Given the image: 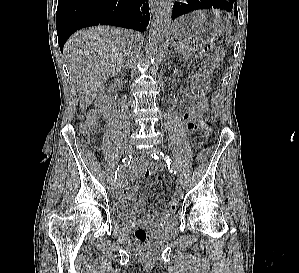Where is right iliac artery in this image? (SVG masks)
<instances>
[{
	"label": "right iliac artery",
	"mask_w": 299,
	"mask_h": 273,
	"mask_svg": "<svg viewBox=\"0 0 299 273\" xmlns=\"http://www.w3.org/2000/svg\"><path fill=\"white\" fill-rule=\"evenodd\" d=\"M132 160V155H128L126 157H124L121 161V163L118 165L117 170L115 171V179L117 178V176L119 175V173L130 164Z\"/></svg>",
	"instance_id": "1"
}]
</instances>
